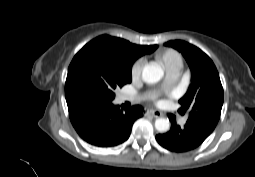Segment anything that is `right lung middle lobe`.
Instances as JSON below:
<instances>
[{"label": "right lung middle lobe", "mask_w": 255, "mask_h": 177, "mask_svg": "<svg viewBox=\"0 0 255 177\" xmlns=\"http://www.w3.org/2000/svg\"><path fill=\"white\" fill-rule=\"evenodd\" d=\"M131 67L121 57L86 44L69 66L65 94H80L111 102L117 89L131 83Z\"/></svg>", "instance_id": "obj_1"}]
</instances>
